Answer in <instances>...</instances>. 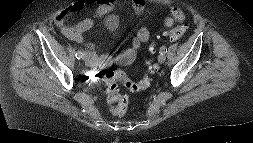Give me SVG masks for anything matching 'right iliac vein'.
Masks as SVG:
<instances>
[{"instance_id": "obj_1", "label": "right iliac vein", "mask_w": 253, "mask_h": 143, "mask_svg": "<svg viewBox=\"0 0 253 143\" xmlns=\"http://www.w3.org/2000/svg\"><path fill=\"white\" fill-rule=\"evenodd\" d=\"M91 58V54L88 51H85L83 54V60L84 61H89Z\"/></svg>"}]
</instances>
